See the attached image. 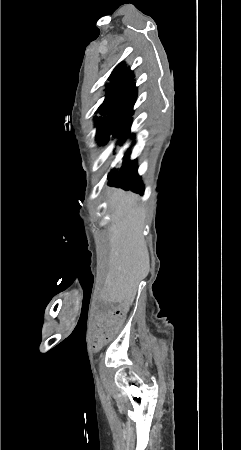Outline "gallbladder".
<instances>
[{
	"label": "gallbladder",
	"instance_id": "obj_1",
	"mask_svg": "<svg viewBox=\"0 0 241 450\" xmlns=\"http://www.w3.org/2000/svg\"><path fill=\"white\" fill-rule=\"evenodd\" d=\"M113 307V304L111 301H100L99 302V309L100 310H111Z\"/></svg>",
	"mask_w": 241,
	"mask_h": 450
}]
</instances>
